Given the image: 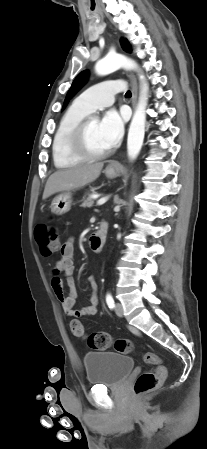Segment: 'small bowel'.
<instances>
[{
  "label": "small bowel",
  "instance_id": "small-bowel-1",
  "mask_svg": "<svg viewBox=\"0 0 207 449\" xmlns=\"http://www.w3.org/2000/svg\"><path fill=\"white\" fill-rule=\"evenodd\" d=\"M74 248L75 242L73 238H69L61 246L60 255L55 261L53 266L54 277L52 278L51 285L55 296L61 302L65 314L74 317L92 316L97 313L98 299L95 294L91 296L90 304L87 305L86 307L78 310L73 308L77 297L75 280L73 277L75 271ZM60 273H64V275L66 276L67 284L70 288V292L68 295H65L64 293L63 281L58 276V274ZM86 283L94 286L95 284L94 277L89 276L86 280Z\"/></svg>",
  "mask_w": 207,
  "mask_h": 449
}]
</instances>
